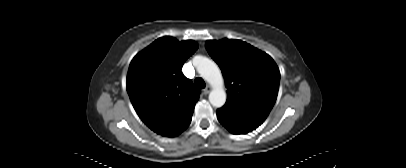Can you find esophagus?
<instances>
[{"label": "esophagus", "mask_w": 406, "mask_h": 168, "mask_svg": "<svg viewBox=\"0 0 406 168\" xmlns=\"http://www.w3.org/2000/svg\"><path fill=\"white\" fill-rule=\"evenodd\" d=\"M211 91V87L209 85L206 86V88L203 90V93L207 95Z\"/></svg>", "instance_id": "34e87169"}]
</instances>
